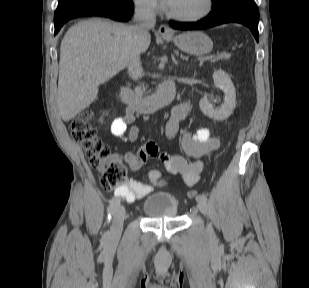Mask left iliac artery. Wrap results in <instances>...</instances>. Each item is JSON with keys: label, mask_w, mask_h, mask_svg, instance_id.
<instances>
[{"label": "left iliac artery", "mask_w": 309, "mask_h": 288, "mask_svg": "<svg viewBox=\"0 0 309 288\" xmlns=\"http://www.w3.org/2000/svg\"><path fill=\"white\" fill-rule=\"evenodd\" d=\"M200 200H207V197H206V195H199L198 197H197V201H200Z\"/></svg>", "instance_id": "44dca946"}]
</instances>
